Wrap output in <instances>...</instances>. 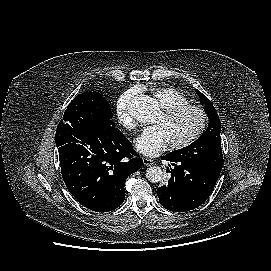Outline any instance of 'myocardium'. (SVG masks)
I'll list each match as a JSON object with an SVG mask.
<instances>
[{"mask_svg": "<svg viewBox=\"0 0 271 271\" xmlns=\"http://www.w3.org/2000/svg\"><path fill=\"white\" fill-rule=\"evenodd\" d=\"M195 111L198 116H199V125L196 128V130L186 137L183 140L176 141V142H171V146L175 149H181L185 148L192 143H194L205 131L206 126H207V114L206 111L199 105L196 104H181V105H175V106H170L166 108L161 109V115L165 118H173L185 111Z\"/></svg>", "mask_w": 271, "mask_h": 271, "instance_id": "myocardium-1", "label": "myocardium"}]
</instances>
